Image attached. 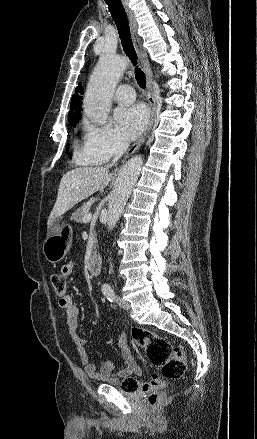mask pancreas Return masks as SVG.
Masks as SVG:
<instances>
[{"label":"pancreas","mask_w":257,"mask_h":439,"mask_svg":"<svg viewBox=\"0 0 257 439\" xmlns=\"http://www.w3.org/2000/svg\"><path fill=\"white\" fill-rule=\"evenodd\" d=\"M90 206L88 204H84L80 208H78L71 216V220L75 222H82L83 217L89 214Z\"/></svg>","instance_id":"cf45deb5"}]
</instances>
